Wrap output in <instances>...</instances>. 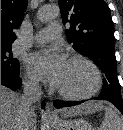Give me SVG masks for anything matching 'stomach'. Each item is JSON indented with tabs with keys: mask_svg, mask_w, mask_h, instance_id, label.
Instances as JSON below:
<instances>
[{
	"mask_svg": "<svg viewBox=\"0 0 123 130\" xmlns=\"http://www.w3.org/2000/svg\"><path fill=\"white\" fill-rule=\"evenodd\" d=\"M49 123L55 130H93L91 124L83 118L72 120H50Z\"/></svg>",
	"mask_w": 123,
	"mask_h": 130,
	"instance_id": "0dacf381",
	"label": "stomach"
}]
</instances>
